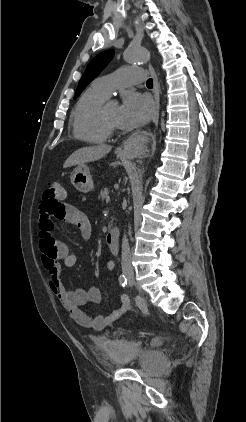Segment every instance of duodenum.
Listing matches in <instances>:
<instances>
[{
  "mask_svg": "<svg viewBox=\"0 0 246 422\" xmlns=\"http://www.w3.org/2000/svg\"><path fill=\"white\" fill-rule=\"evenodd\" d=\"M106 243L108 248L113 254L119 252V231L117 229H111L106 235Z\"/></svg>",
  "mask_w": 246,
  "mask_h": 422,
  "instance_id": "duodenum-1",
  "label": "duodenum"
}]
</instances>
